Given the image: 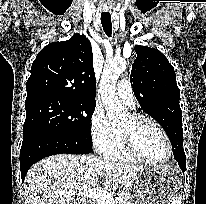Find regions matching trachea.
Instances as JSON below:
<instances>
[{
	"label": "trachea",
	"mask_w": 206,
	"mask_h": 204,
	"mask_svg": "<svg viewBox=\"0 0 206 204\" xmlns=\"http://www.w3.org/2000/svg\"><path fill=\"white\" fill-rule=\"evenodd\" d=\"M101 24L107 36L111 37L112 23H111V15L109 12H103L101 14Z\"/></svg>",
	"instance_id": "3493384b"
}]
</instances>
